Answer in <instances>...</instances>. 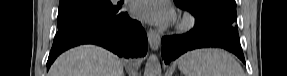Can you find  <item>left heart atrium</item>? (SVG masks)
Wrapping results in <instances>:
<instances>
[{
	"mask_svg": "<svg viewBox=\"0 0 287 76\" xmlns=\"http://www.w3.org/2000/svg\"><path fill=\"white\" fill-rule=\"evenodd\" d=\"M132 14L141 20L163 25L171 21L174 12L165 0H137L132 6Z\"/></svg>",
	"mask_w": 287,
	"mask_h": 76,
	"instance_id": "39dd6f15",
	"label": "left heart atrium"
}]
</instances>
